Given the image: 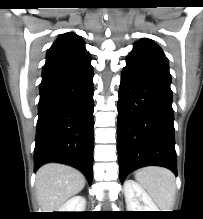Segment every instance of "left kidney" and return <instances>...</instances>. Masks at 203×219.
<instances>
[{
    "instance_id": "5707ae66",
    "label": "left kidney",
    "mask_w": 203,
    "mask_h": 219,
    "mask_svg": "<svg viewBox=\"0 0 203 219\" xmlns=\"http://www.w3.org/2000/svg\"><path fill=\"white\" fill-rule=\"evenodd\" d=\"M124 194L128 211H159L147 192L134 180L124 182Z\"/></svg>"
}]
</instances>
